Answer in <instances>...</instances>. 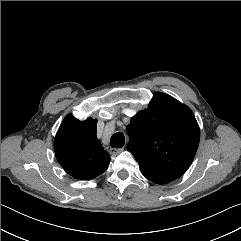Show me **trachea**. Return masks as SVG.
I'll return each instance as SVG.
<instances>
[{
    "label": "trachea",
    "instance_id": "3493384b",
    "mask_svg": "<svg viewBox=\"0 0 241 241\" xmlns=\"http://www.w3.org/2000/svg\"><path fill=\"white\" fill-rule=\"evenodd\" d=\"M125 143V137L122 132H117L112 135L110 144L113 148H121L124 146Z\"/></svg>",
    "mask_w": 241,
    "mask_h": 241
}]
</instances>
